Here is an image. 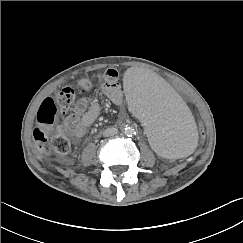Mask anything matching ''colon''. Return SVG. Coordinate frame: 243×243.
<instances>
[{"label": "colon", "instance_id": "colon-1", "mask_svg": "<svg viewBox=\"0 0 243 243\" xmlns=\"http://www.w3.org/2000/svg\"><path fill=\"white\" fill-rule=\"evenodd\" d=\"M90 88L91 84L89 81L80 80L76 85V89L64 87L58 90L52 97L43 101L38 111L37 125L33 130L34 147L38 153L44 154L49 150V137L52 133V126L56 114L59 111H67L73 103L76 94H87ZM192 112L196 116L195 124L197 129V144L194 147V151L200 154L205 148L206 127L203 119L199 118L195 109H192ZM50 144L52 148L60 154H66L71 148L69 138L62 133L52 136Z\"/></svg>", "mask_w": 243, "mask_h": 243}]
</instances>
